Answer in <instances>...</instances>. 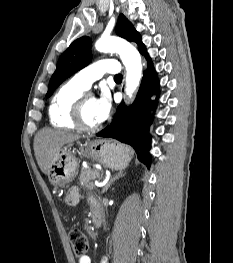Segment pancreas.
Wrapping results in <instances>:
<instances>
[{
	"label": "pancreas",
	"mask_w": 233,
	"mask_h": 263,
	"mask_svg": "<svg viewBox=\"0 0 233 263\" xmlns=\"http://www.w3.org/2000/svg\"><path fill=\"white\" fill-rule=\"evenodd\" d=\"M102 176L103 174H100L98 170H83L79 177V182L87 190H93L95 188L94 180L102 178Z\"/></svg>",
	"instance_id": "obj_1"
}]
</instances>
